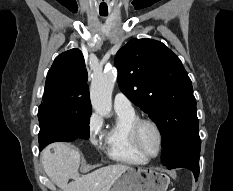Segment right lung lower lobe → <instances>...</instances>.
Wrapping results in <instances>:
<instances>
[{"mask_svg": "<svg viewBox=\"0 0 233 191\" xmlns=\"http://www.w3.org/2000/svg\"><path fill=\"white\" fill-rule=\"evenodd\" d=\"M39 149H40V150H42V149H43V147H42V146H39Z\"/></svg>", "mask_w": 233, "mask_h": 191, "instance_id": "obj_1", "label": "right lung lower lobe"}]
</instances>
